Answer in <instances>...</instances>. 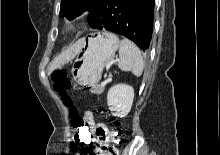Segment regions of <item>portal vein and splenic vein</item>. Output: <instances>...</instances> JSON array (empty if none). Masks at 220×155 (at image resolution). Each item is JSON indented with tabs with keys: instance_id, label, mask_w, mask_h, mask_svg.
<instances>
[{
	"instance_id": "portal-vein-and-splenic-vein-1",
	"label": "portal vein and splenic vein",
	"mask_w": 220,
	"mask_h": 155,
	"mask_svg": "<svg viewBox=\"0 0 220 155\" xmlns=\"http://www.w3.org/2000/svg\"><path fill=\"white\" fill-rule=\"evenodd\" d=\"M107 68H109V67H107ZM109 80H110V79L103 81V82L101 83V86L104 87V86L109 82Z\"/></svg>"
}]
</instances>
